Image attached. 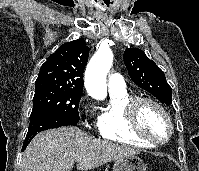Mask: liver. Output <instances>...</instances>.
<instances>
[{"label":"liver","mask_w":199,"mask_h":171,"mask_svg":"<svg viewBox=\"0 0 199 171\" xmlns=\"http://www.w3.org/2000/svg\"><path fill=\"white\" fill-rule=\"evenodd\" d=\"M139 151L88 135L73 126L37 134L23 153L20 171H88Z\"/></svg>","instance_id":"liver-1"}]
</instances>
